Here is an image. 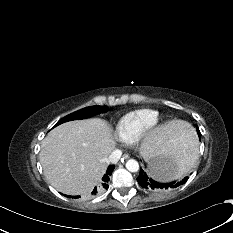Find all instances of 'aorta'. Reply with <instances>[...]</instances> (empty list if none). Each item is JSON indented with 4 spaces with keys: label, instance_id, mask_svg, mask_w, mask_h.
<instances>
[{
    "label": "aorta",
    "instance_id": "obj_1",
    "mask_svg": "<svg viewBox=\"0 0 233 233\" xmlns=\"http://www.w3.org/2000/svg\"><path fill=\"white\" fill-rule=\"evenodd\" d=\"M126 168L130 172H137L139 170V163L135 159H129L126 162Z\"/></svg>",
    "mask_w": 233,
    "mask_h": 233
}]
</instances>
